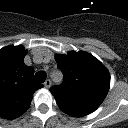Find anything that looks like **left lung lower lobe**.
Segmentation results:
<instances>
[{
  "mask_svg": "<svg viewBox=\"0 0 128 128\" xmlns=\"http://www.w3.org/2000/svg\"><path fill=\"white\" fill-rule=\"evenodd\" d=\"M57 104L63 112H65L68 115L74 116V117H80V116L89 114L94 111V110H90V109L70 106V105L63 104V103H57Z\"/></svg>",
  "mask_w": 128,
  "mask_h": 128,
  "instance_id": "0a47b994",
  "label": "left lung lower lobe"
}]
</instances>
